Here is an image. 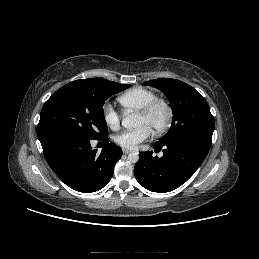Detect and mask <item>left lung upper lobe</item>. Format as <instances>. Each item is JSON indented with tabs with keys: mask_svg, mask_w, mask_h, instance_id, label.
I'll list each match as a JSON object with an SVG mask.
<instances>
[{
	"mask_svg": "<svg viewBox=\"0 0 259 259\" xmlns=\"http://www.w3.org/2000/svg\"><path fill=\"white\" fill-rule=\"evenodd\" d=\"M144 84L162 90L173 111L172 125L158 143L186 137L212 142L214 117L199 92L182 81L170 78L155 79Z\"/></svg>",
	"mask_w": 259,
	"mask_h": 259,
	"instance_id": "1",
	"label": "left lung upper lobe"
}]
</instances>
